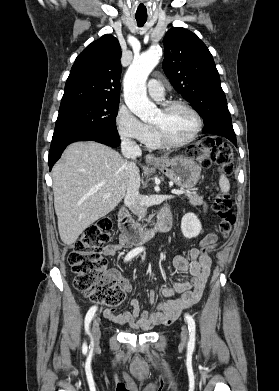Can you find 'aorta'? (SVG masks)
Here are the masks:
<instances>
[{"label":"aorta","instance_id":"obj_1","mask_svg":"<svg viewBox=\"0 0 279 391\" xmlns=\"http://www.w3.org/2000/svg\"><path fill=\"white\" fill-rule=\"evenodd\" d=\"M162 55L159 45L151 46L146 52L135 57L124 77L125 103L136 116L146 121L156 113V106L146 94V80L158 64Z\"/></svg>","mask_w":279,"mask_h":391}]
</instances>
